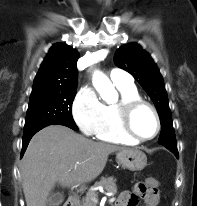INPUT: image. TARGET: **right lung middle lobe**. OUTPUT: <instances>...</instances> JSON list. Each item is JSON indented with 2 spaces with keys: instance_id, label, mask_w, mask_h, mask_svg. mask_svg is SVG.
<instances>
[{
  "instance_id": "right-lung-middle-lobe-1",
  "label": "right lung middle lobe",
  "mask_w": 197,
  "mask_h": 206,
  "mask_svg": "<svg viewBox=\"0 0 197 206\" xmlns=\"http://www.w3.org/2000/svg\"><path fill=\"white\" fill-rule=\"evenodd\" d=\"M75 95L76 88L32 90L23 135L55 124L78 130L72 117Z\"/></svg>"
}]
</instances>
